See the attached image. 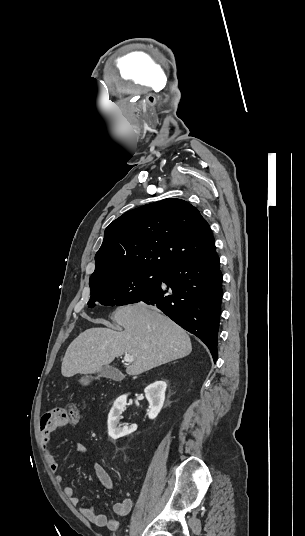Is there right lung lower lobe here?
<instances>
[{
    "label": "right lung lower lobe",
    "instance_id": "right-lung-lower-lobe-1",
    "mask_svg": "<svg viewBox=\"0 0 305 536\" xmlns=\"http://www.w3.org/2000/svg\"><path fill=\"white\" fill-rule=\"evenodd\" d=\"M222 279L215 247L164 271L160 285L138 302L152 304L182 328L199 337L217 358Z\"/></svg>",
    "mask_w": 305,
    "mask_h": 536
}]
</instances>
